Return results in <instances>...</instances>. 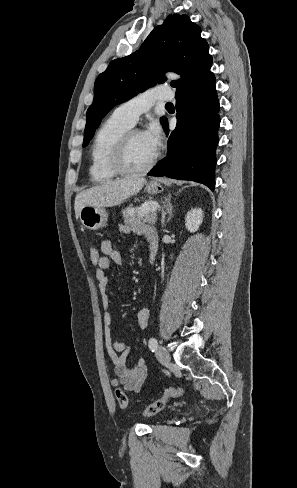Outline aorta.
I'll use <instances>...</instances> for the list:
<instances>
[{
    "label": "aorta",
    "instance_id": "obj_1",
    "mask_svg": "<svg viewBox=\"0 0 297 488\" xmlns=\"http://www.w3.org/2000/svg\"><path fill=\"white\" fill-rule=\"evenodd\" d=\"M166 77H167L168 79H171V80H177V79H179V78H180V76H179V75H177V74H175V73H171V72L167 73V74H166Z\"/></svg>",
    "mask_w": 297,
    "mask_h": 488
}]
</instances>
